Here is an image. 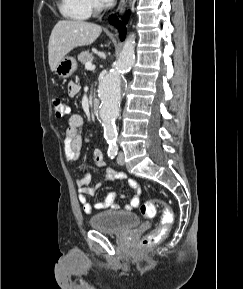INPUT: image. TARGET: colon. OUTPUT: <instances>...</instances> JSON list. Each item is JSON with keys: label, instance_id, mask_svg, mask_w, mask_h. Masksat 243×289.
Wrapping results in <instances>:
<instances>
[{"label": "colon", "instance_id": "1", "mask_svg": "<svg viewBox=\"0 0 243 289\" xmlns=\"http://www.w3.org/2000/svg\"><path fill=\"white\" fill-rule=\"evenodd\" d=\"M53 109L56 117L62 118L67 113V107L64 103V101L56 97L53 100ZM160 202L163 206L162 211V217L160 225L157 229L152 231L151 233L145 235L141 240V246L142 247H149L152 246L159 241H161L163 238L166 237V235L169 232V228L173 222V212L171 208L166 205L165 203L161 202L158 199H152L144 202L140 206V212L144 217H153L156 213V203Z\"/></svg>", "mask_w": 243, "mask_h": 289}]
</instances>
